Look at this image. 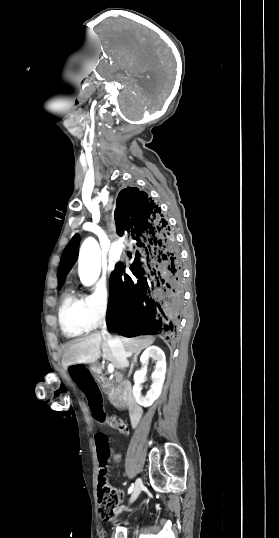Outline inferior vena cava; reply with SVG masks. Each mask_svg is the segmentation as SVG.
<instances>
[{"label": "inferior vena cava", "instance_id": "inferior-vena-cava-1", "mask_svg": "<svg viewBox=\"0 0 279 538\" xmlns=\"http://www.w3.org/2000/svg\"><path fill=\"white\" fill-rule=\"evenodd\" d=\"M103 332L108 335H106L107 343L110 346L113 355L116 356L119 361H116V363L119 364V367H125V364L128 363V361H125L126 357L130 356V353H125V348L123 346V343L121 342V339L118 335H110L106 330V323L104 321V326L102 327ZM121 358V359H120ZM122 360V361H121Z\"/></svg>", "mask_w": 279, "mask_h": 538}]
</instances>
